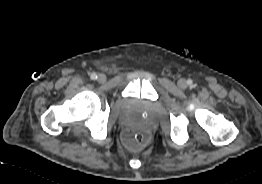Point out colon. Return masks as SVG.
I'll return each instance as SVG.
<instances>
[{
  "label": "colon",
  "instance_id": "1",
  "mask_svg": "<svg viewBox=\"0 0 262 184\" xmlns=\"http://www.w3.org/2000/svg\"><path fill=\"white\" fill-rule=\"evenodd\" d=\"M148 135L141 131H128L124 137L125 145L130 149H140L146 145Z\"/></svg>",
  "mask_w": 262,
  "mask_h": 184
}]
</instances>
